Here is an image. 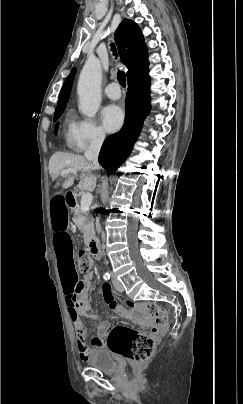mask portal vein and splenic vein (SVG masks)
Wrapping results in <instances>:
<instances>
[{"instance_id": "obj_1", "label": "portal vein and splenic vein", "mask_w": 243, "mask_h": 404, "mask_svg": "<svg viewBox=\"0 0 243 404\" xmlns=\"http://www.w3.org/2000/svg\"><path fill=\"white\" fill-rule=\"evenodd\" d=\"M67 174H77L76 170H63L61 172V176H67ZM92 194L90 192H86V194H82L81 196V210L82 212H89L90 204L92 202Z\"/></svg>"}]
</instances>
